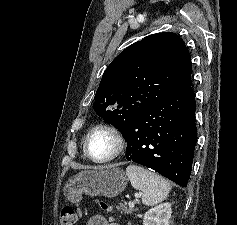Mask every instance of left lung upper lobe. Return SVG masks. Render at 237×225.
<instances>
[{
    "instance_id": "5c2ea615",
    "label": "left lung upper lobe",
    "mask_w": 237,
    "mask_h": 225,
    "mask_svg": "<svg viewBox=\"0 0 237 225\" xmlns=\"http://www.w3.org/2000/svg\"><path fill=\"white\" fill-rule=\"evenodd\" d=\"M191 71V56L178 35H150L127 47L107 67L94 111L123 134L158 102L190 88Z\"/></svg>"
}]
</instances>
